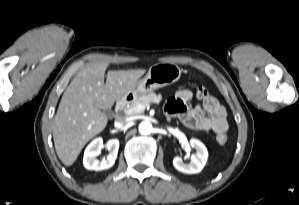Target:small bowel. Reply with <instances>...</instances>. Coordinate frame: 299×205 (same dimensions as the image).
<instances>
[{
    "mask_svg": "<svg viewBox=\"0 0 299 205\" xmlns=\"http://www.w3.org/2000/svg\"><path fill=\"white\" fill-rule=\"evenodd\" d=\"M193 93L188 89L179 90L165 105V111L178 117L181 122L192 130L214 131L226 133L228 124L226 111L219 101L211 95L202 100L201 105H192Z\"/></svg>",
    "mask_w": 299,
    "mask_h": 205,
    "instance_id": "c3829d8e",
    "label": "small bowel"
}]
</instances>
